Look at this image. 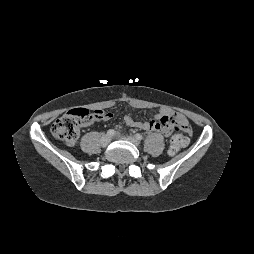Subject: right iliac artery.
Instances as JSON below:
<instances>
[{
	"instance_id": "right-iliac-artery-1",
	"label": "right iliac artery",
	"mask_w": 254,
	"mask_h": 254,
	"mask_svg": "<svg viewBox=\"0 0 254 254\" xmlns=\"http://www.w3.org/2000/svg\"><path fill=\"white\" fill-rule=\"evenodd\" d=\"M115 133H116V131L113 130V129H110V130L107 131V135L110 136V137L114 136Z\"/></svg>"
}]
</instances>
